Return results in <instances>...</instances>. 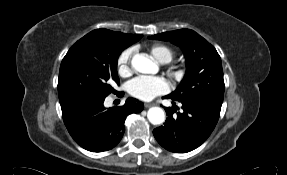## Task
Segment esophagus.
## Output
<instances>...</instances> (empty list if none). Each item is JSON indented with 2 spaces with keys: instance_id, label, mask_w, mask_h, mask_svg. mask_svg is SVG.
<instances>
[{
  "instance_id": "1",
  "label": "esophagus",
  "mask_w": 287,
  "mask_h": 175,
  "mask_svg": "<svg viewBox=\"0 0 287 175\" xmlns=\"http://www.w3.org/2000/svg\"><path fill=\"white\" fill-rule=\"evenodd\" d=\"M144 106H145V108H149V107H151V106H153V103H144Z\"/></svg>"
}]
</instances>
